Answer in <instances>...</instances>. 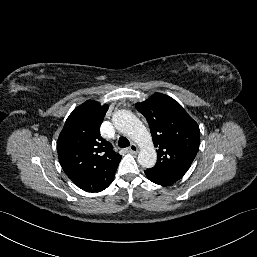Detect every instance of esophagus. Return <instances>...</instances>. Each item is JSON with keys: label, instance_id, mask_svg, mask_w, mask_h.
Masks as SVG:
<instances>
[{"label": "esophagus", "instance_id": "obj_1", "mask_svg": "<svg viewBox=\"0 0 257 257\" xmlns=\"http://www.w3.org/2000/svg\"><path fill=\"white\" fill-rule=\"evenodd\" d=\"M128 149H129V152L133 154L138 152V146L134 143H132Z\"/></svg>", "mask_w": 257, "mask_h": 257}]
</instances>
